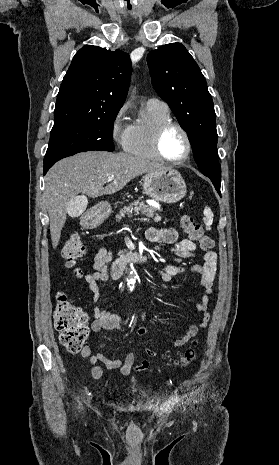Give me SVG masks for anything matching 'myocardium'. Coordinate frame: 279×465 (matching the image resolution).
<instances>
[{
    "mask_svg": "<svg viewBox=\"0 0 279 465\" xmlns=\"http://www.w3.org/2000/svg\"><path fill=\"white\" fill-rule=\"evenodd\" d=\"M171 128L178 129L182 133V135H183V137L185 139V142H186V152L179 159H169L164 155V153L162 151V139H163V136ZM153 147H154L155 153L160 158V160H162L163 162H166L168 164H173V165H178V164H181V163H184L185 161H187L188 158L191 155V152H192V142H191V138H190L187 130L181 124H179L177 122H174V121H169V122L163 123L162 125H160L158 127V129L156 130V133L154 135Z\"/></svg>",
    "mask_w": 279,
    "mask_h": 465,
    "instance_id": "f54148a6",
    "label": "myocardium"
}]
</instances>
